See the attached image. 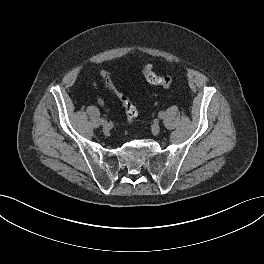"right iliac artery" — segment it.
Returning <instances> with one entry per match:
<instances>
[{
	"label": "right iliac artery",
	"instance_id": "82829eb1",
	"mask_svg": "<svg viewBox=\"0 0 264 264\" xmlns=\"http://www.w3.org/2000/svg\"><path fill=\"white\" fill-rule=\"evenodd\" d=\"M100 122H101V124H104V123H106V120L102 118V119L100 120Z\"/></svg>",
	"mask_w": 264,
	"mask_h": 264
}]
</instances>
